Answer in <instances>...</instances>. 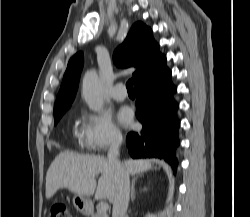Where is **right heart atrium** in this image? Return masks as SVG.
Returning <instances> with one entry per match:
<instances>
[{
  "instance_id": "d8ad5b80",
  "label": "right heart atrium",
  "mask_w": 250,
  "mask_h": 217,
  "mask_svg": "<svg viewBox=\"0 0 250 217\" xmlns=\"http://www.w3.org/2000/svg\"><path fill=\"white\" fill-rule=\"evenodd\" d=\"M81 119L80 142L85 149L99 153L121 142V132L108 113L83 110Z\"/></svg>"
}]
</instances>
